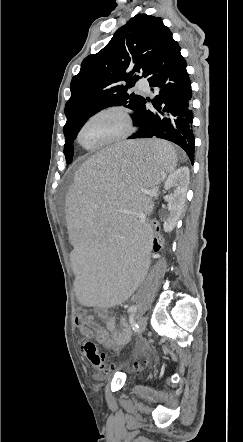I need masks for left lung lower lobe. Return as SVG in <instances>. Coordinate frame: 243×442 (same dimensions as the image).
<instances>
[{
  "mask_svg": "<svg viewBox=\"0 0 243 442\" xmlns=\"http://www.w3.org/2000/svg\"><path fill=\"white\" fill-rule=\"evenodd\" d=\"M186 66L180 47L170 33L145 75L150 86L155 87V99H147L154 108L147 109L146 100L143 101L133 118L139 129L128 139L157 137L174 142L193 163L192 90Z\"/></svg>",
  "mask_w": 243,
  "mask_h": 442,
  "instance_id": "left-lung-lower-lobe-1",
  "label": "left lung lower lobe"
}]
</instances>
